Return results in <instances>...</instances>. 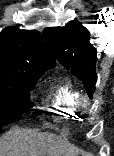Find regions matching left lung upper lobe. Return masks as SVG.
I'll use <instances>...</instances> for the list:
<instances>
[{"instance_id":"1","label":"left lung upper lobe","mask_w":114,"mask_h":156,"mask_svg":"<svg viewBox=\"0 0 114 156\" xmlns=\"http://www.w3.org/2000/svg\"><path fill=\"white\" fill-rule=\"evenodd\" d=\"M43 35L59 62L83 81L92 97L97 81V51L89 41V31L79 22H70L64 27L45 28Z\"/></svg>"}]
</instances>
